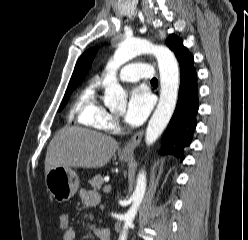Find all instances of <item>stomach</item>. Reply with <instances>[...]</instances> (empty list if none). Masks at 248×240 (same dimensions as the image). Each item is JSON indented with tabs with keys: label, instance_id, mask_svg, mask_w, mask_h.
Segmentation results:
<instances>
[{
	"label": "stomach",
	"instance_id": "1",
	"mask_svg": "<svg viewBox=\"0 0 248 240\" xmlns=\"http://www.w3.org/2000/svg\"><path fill=\"white\" fill-rule=\"evenodd\" d=\"M132 155H122L123 161H129ZM45 184L57 202H65L74 196L79 188V177L71 170L63 166L51 169L45 176Z\"/></svg>",
	"mask_w": 248,
	"mask_h": 240
}]
</instances>
